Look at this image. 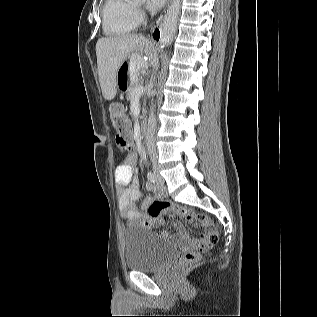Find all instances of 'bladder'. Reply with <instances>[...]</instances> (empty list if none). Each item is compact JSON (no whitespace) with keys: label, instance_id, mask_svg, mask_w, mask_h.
Listing matches in <instances>:
<instances>
[{"label":"bladder","instance_id":"bladder-1","mask_svg":"<svg viewBox=\"0 0 317 317\" xmlns=\"http://www.w3.org/2000/svg\"><path fill=\"white\" fill-rule=\"evenodd\" d=\"M178 252L175 240L158 237L144 226H129L124 232L125 265L129 270L155 271Z\"/></svg>","mask_w":317,"mask_h":317}]
</instances>
